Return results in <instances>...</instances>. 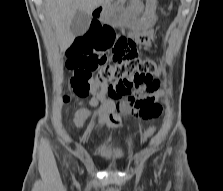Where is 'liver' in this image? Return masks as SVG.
<instances>
[{
  "label": "liver",
  "instance_id": "1",
  "mask_svg": "<svg viewBox=\"0 0 223 191\" xmlns=\"http://www.w3.org/2000/svg\"><path fill=\"white\" fill-rule=\"evenodd\" d=\"M111 2L112 0H45L46 16L55 28L61 51H65L75 38L70 25L78 11L91 14L97 7H107Z\"/></svg>",
  "mask_w": 223,
  "mask_h": 191
}]
</instances>
